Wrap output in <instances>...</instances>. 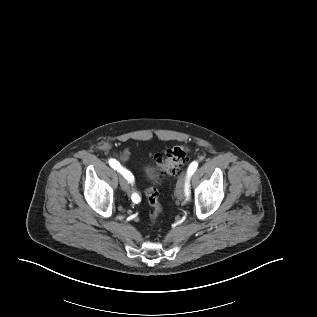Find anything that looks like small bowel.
I'll list each match as a JSON object with an SVG mask.
<instances>
[{
	"mask_svg": "<svg viewBox=\"0 0 317 317\" xmlns=\"http://www.w3.org/2000/svg\"><path fill=\"white\" fill-rule=\"evenodd\" d=\"M119 158L121 159V160H127L128 158H129V156H130V152H129V150L128 149H124L123 151H121L119 154ZM134 193H136V192H134ZM137 194V193H136ZM138 195V194H137Z\"/></svg>",
	"mask_w": 317,
	"mask_h": 317,
	"instance_id": "1",
	"label": "small bowel"
}]
</instances>
